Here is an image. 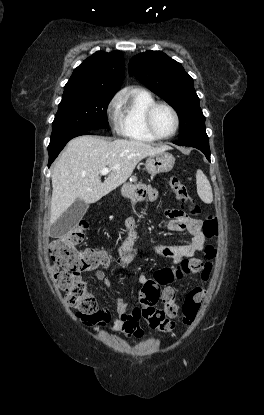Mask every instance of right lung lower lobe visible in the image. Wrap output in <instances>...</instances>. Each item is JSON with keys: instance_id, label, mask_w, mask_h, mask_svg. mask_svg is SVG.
Returning <instances> with one entry per match:
<instances>
[{"instance_id": "right-lung-lower-lobe-1", "label": "right lung lower lobe", "mask_w": 264, "mask_h": 415, "mask_svg": "<svg viewBox=\"0 0 264 415\" xmlns=\"http://www.w3.org/2000/svg\"><path fill=\"white\" fill-rule=\"evenodd\" d=\"M86 134H91L90 132H85L82 133L80 135H86ZM79 136V135H78ZM72 139V138H71ZM69 139V140H71ZM65 141L53 148L48 149L49 152V162H48V167H50V165L52 164V162L55 160V158L58 156V154L61 152V150L65 147V145L67 144V142L69 141Z\"/></svg>"}]
</instances>
